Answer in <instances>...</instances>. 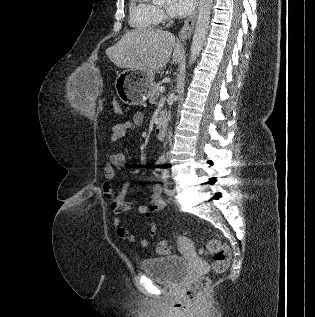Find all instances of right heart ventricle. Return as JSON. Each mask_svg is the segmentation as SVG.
Returning <instances> with one entry per match:
<instances>
[{
    "label": "right heart ventricle",
    "instance_id": "1",
    "mask_svg": "<svg viewBox=\"0 0 315 317\" xmlns=\"http://www.w3.org/2000/svg\"><path fill=\"white\" fill-rule=\"evenodd\" d=\"M160 22L158 8L150 0H130L129 23L137 29H150Z\"/></svg>",
    "mask_w": 315,
    "mask_h": 317
}]
</instances>
